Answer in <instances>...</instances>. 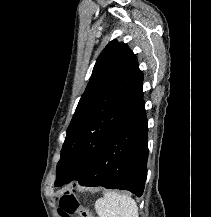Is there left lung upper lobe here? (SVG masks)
Wrapping results in <instances>:
<instances>
[{
    "label": "left lung upper lobe",
    "mask_w": 211,
    "mask_h": 217,
    "mask_svg": "<svg viewBox=\"0 0 211 217\" xmlns=\"http://www.w3.org/2000/svg\"><path fill=\"white\" fill-rule=\"evenodd\" d=\"M143 106V73L136 55L113 40L99 55L66 130L55 186L74 180L107 138Z\"/></svg>",
    "instance_id": "left-lung-upper-lobe-1"
}]
</instances>
